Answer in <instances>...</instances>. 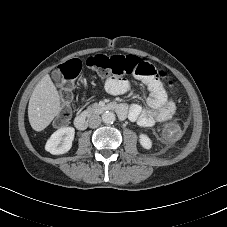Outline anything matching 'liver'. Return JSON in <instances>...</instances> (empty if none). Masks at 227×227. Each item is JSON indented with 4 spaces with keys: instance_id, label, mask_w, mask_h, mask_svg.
<instances>
[{
    "instance_id": "obj_1",
    "label": "liver",
    "mask_w": 227,
    "mask_h": 227,
    "mask_svg": "<svg viewBox=\"0 0 227 227\" xmlns=\"http://www.w3.org/2000/svg\"><path fill=\"white\" fill-rule=\"evenodd\" d=\"M60 111L58 91L47 74L35 86L29 100L28 118L32 129L44 130Z\"/></svg>"
}]
</instances>
